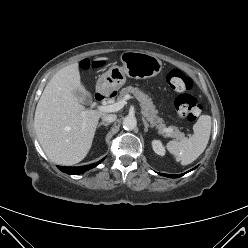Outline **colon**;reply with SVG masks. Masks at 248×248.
<instances>
[{"instance_id":"obj_1","label":"colon","mask_w":248,"mask_h":248,"mask_svg":"<svg viewBox=\"0 0 248 248\" xmlns=\"http://www.w3.org/2000/svg\"><path fill=\"white\" fill-rule=\"evenodd\" d=\"M91 63L89 60L84 62V67L88 68ZM169 86L179 93L175 100L177 115L179 118L194 122L201 114V105L198 100L189 93L192 89L191 79L180 69H172L167 75Z\"/></svg>"}]
</instances>
